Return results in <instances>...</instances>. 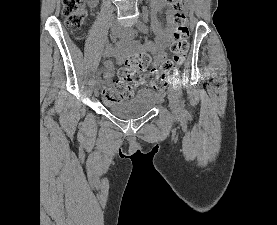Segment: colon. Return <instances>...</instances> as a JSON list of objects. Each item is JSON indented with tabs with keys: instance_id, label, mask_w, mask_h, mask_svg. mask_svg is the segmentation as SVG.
Here are the masks:
<instances>
[{
	"instance_id": "5ec220e1",
	"label": "colon",
	"mask_w": 277,
	"mask_h": 225,
	"mask_svg": "<svg viewBox=\"0 0 277 225\" xmlns=\"http://www.w3.org/2000/svg\"><path fill=\"white\" fill-rule=\"evenodd\" d=\"M84 3L85 0H62L65 24L70 29H79L84 23L86 17ZM183 3L184 0H175L173 4L174 31L170 47L171 58L164 62L159 70H151V82L156 88L165 86L178 74V68L184 63L189 50V29ZM123 60L124 64L118 71V79L103 91V97L107 103H117L131 98L143 74L151 65V57L147 53L128 54Z\"/></svg>"
}]
</instances>
